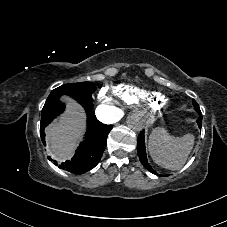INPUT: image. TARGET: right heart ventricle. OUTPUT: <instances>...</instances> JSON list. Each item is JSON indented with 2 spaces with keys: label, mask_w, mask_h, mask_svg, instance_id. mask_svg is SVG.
Listing matches in <instances>:
<instances>
[{
  "label": "right heart ventricle",
  "mask_w": 227,
  "mask_h": 227,
  "mask_svg": "<svg viewBox=\"0 0 227 227\" xmlns=\"http://www.w3.org/2000/svg\"><path fill=\"white\" fill-rule=\"evenodd\" d=\"M112 94L123 105L159 110L165 96L158 92L147 91L135 86L118 85L112 89Z\"/></svg>",
  "instance_id": "right-heart-ventricle-1"
}]
</instances>
